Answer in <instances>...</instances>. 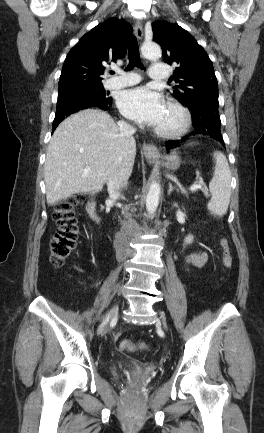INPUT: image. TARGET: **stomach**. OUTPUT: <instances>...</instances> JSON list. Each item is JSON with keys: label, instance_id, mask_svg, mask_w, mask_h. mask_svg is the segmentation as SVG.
<instances>
[{"label": "stomach", "instance_id": "0dacf381", "mask_svg": "<svg viewBox=\"0 0 264 433\" xmlns=\"http://www.w3.org/2000/svg\"><path fill=\"white\" fill-rule=\"evenodd\" d=\"M181 163V159L177 152H172L162 158V165L169 170H176Z\"/></svg>", "mask_w": 264, "mask_h": 433}]
</instances>
